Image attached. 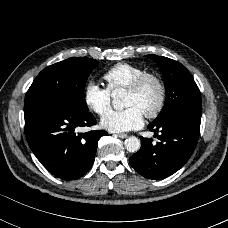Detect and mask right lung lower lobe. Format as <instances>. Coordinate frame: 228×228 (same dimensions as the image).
Masks as SVG:
<instances>
[{
    "mask_svg": "<svg viewBox=\"0 0 228 228\" xmlns=\"http://www.w3.org/2000/svg\"><path fill=\"white\" fill-rule=\"evenodd\" d=\"M25 135L34 155L54 176L82 177L93 165L98 141L105 131L76 133L96 124L90 112L61 101L41 99L24 104Z\"/></svg>",
    "mask_w": 228,
    "mask_h": 228,
    "instance_id": "right-lung-lower-lobe-1",
    "label": "right lung lower lobe"
}]
</instances>
